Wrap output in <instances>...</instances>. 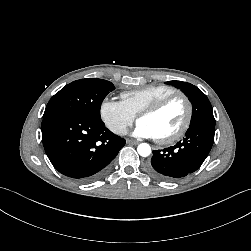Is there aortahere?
<instances>
[{"instance_id": "aorta-1", "label": "aorta", "mask_w": 251, "mask_h": 251, "mask_svg": "<svg viewBox=\"0 0 251 251\" xmlns=\"http://www.w3.org/2000/svg\"><path fill=\"white\" fill-rule=\"evenodd\" d=\"M137 152L142 157H147L151 154V147L147 143H141L137 147Z\"/></svg>"}]
</instances>
